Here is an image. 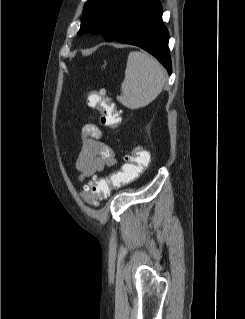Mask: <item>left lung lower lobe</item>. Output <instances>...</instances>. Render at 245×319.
<instances>
[{
    "mask_svg": "<svg viewBox=\"0 0 245 319\" xmlns=\"http://www.w3.org/2000/svg\"><path fill=\"white\" fill-rule=\"evenodd\" d=\"M162 12L159 0H148L131 14L114 40L148 51L171 74L169 34L162 22Z\"/></svg>",
    "mask_w": 245,
    "mask_h": 319,
    "instance_id": "1",
    "label": "left lung lower lobe"
}]
</instances>
